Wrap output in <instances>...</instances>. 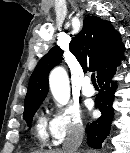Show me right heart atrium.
Wrapping results in <instances>:
<instances>
[{"mask_svg":"<svg viewBox=\"0 0 130 153\" xmlns=\"http://www.w3.org/2000/svg\"><path fill=\"white\" fill-rule=\"evenodd\" d=\"M54 85H56V82H54ZM83 126L78 108L74 106L57 107L50 123L53 144L60 145L67 139L80 135Z\"/></svg>","mask_w":130,"mask_h":153,"instance_id":"1","label":"right heart atrium"}]
</instances>
